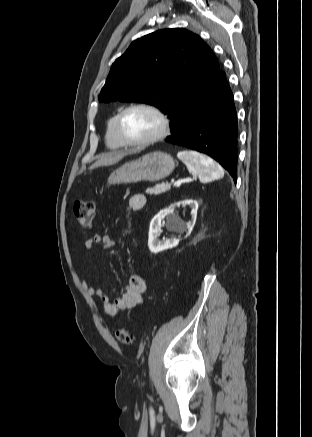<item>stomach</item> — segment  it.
<instances>
[{"instance_id": "obj_1", "label": "stomach", "mask_w": 312, "mask_h": 437, "mask_svg": "<svg viewBox=\"0 0 312 437\" xmlns=\"http://www.w3.org/2000/svg\"><path fill=\"white\" fill-rule=\"evenodd\" d=\"M174 168L175 162L171 155L155 151L114 170L108 178V184L159 181L169 176Z\"/></svg>"}]
</instances>
